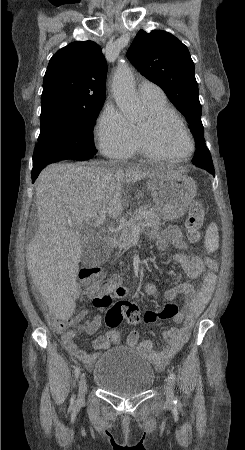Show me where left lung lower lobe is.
I'll return each mask as SVG.
<instances>
[{
  "instance_id": "obj_1",
  "label": "left lung lower lobe",
  "mask_w": 245,
  "mask_h": 450,
  "mask_svg": "<svg viewBox=\"0 0 245 450\" xmlns=\"http://www.w3.org/2000/svg\"><path fill=\"white\" fill-rule=\"evenodd\" d=\"M207 152H208V149L205 148L204 146L196 145V153H195L196 157H201V159H202L206 156ZM203 168L206 169L207 171H209L213 176H215L213 164H211L209 167H203Z\"/></svg>"
}]
</instances>
